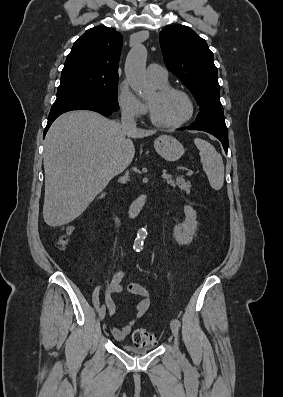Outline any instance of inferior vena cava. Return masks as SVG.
I'll return each mask as SVG.
<instances>
[{
  "mask_svg": "<svg viewBox=\"0 0 283 397\" xmlns=\"http://www.w3.org/2000/svg\"><path fill=\"white\" fill-rule=\"evenodd\" d=\"M121 126L126 130H132L136 128V121L130 111L125 109L122 110Z\"/></svg>",
  "mask_w": 283,
  "mask_h": 397,
  "instance_id": "obj_1",
  "label": "inferior vena cava"
}]
</instances>
